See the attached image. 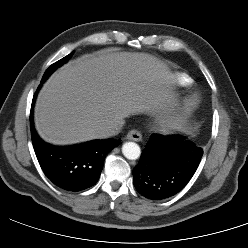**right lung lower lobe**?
I'll return each instance as SVG.
<instances>
[{
    "instance_id": "98d812e1",
    "label": "right lung lower lobe",
    "mask_w": 248,
    "mask_h": 248,
    "mask_svg": "<svg viewBox=\"0 0 248 248\" xmlns=\"http://www.w3.org/2000/svg\"><path fill=\"white\" fill-rule=\"evenodd\" d=\"M43 82L34 95L30 113L32 143L39 164L44 174L59 188L74 192L90 188L100 177L106 155L121 140H93L68 147L45 143L38 136L33 123V105Z\"/></svg>"
}]
</instances>
